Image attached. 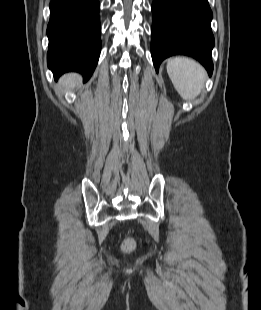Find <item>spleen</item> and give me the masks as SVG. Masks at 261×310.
<instances>
[{
  "mask_svg": "<svg viewBox=\"0 0 261 310\" xmlns=\"http://www.w3.org/2000/svg\"><path fill=\"white\" fill-rule=\"evenodd\" d=\"M167 73L176 91L187 101L200 94L207 76L205 69L198 62L187 57L168 59Z\"/></svg>",
  "mask_w": 261,
  "mask_h": 310,
  "instance_id": "obj_1",
  "label": "spleen"
}]
</instances>
